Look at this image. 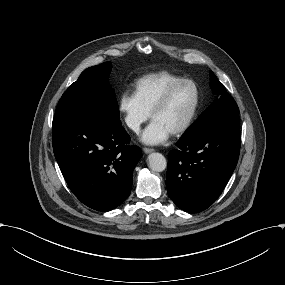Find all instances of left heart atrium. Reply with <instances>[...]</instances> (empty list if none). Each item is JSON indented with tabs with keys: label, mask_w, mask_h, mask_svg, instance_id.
Listing matches in <instances>:
<instances>
[{
	"label": "left heart atrium",
	"mask_w": 285,
	"mask_h": 285,
	"mask_svg": "<svg viewBox=\"0 0 285 285\" xmlns=\"http://www.w3.org/2000/svg\"><path fill=\"white\" fill-rule=\"evenodd\" d=\"M172 134L171 129L157 119H153L143 131L141 139L149 145H157L165 142Z\"/></svg>",
	"instance_id": "left-heart-atrium-1"
}]
</instances>
